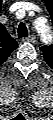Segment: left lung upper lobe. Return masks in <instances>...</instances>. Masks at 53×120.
Instances as JSON below:
<instances>
[{
	"mask_svg": "<svg viewBox=\"0 0 53 120\" xmlns=\"http://www.w3.org/2000/svg\"><path fill=\"white\" fill-rule=\"evenodd\" d=\"M40 50L43 52L47 64L51 66L53 64V46H42Z\"/></svg>",
	"mask_w": 53,
	"mask_h": 120,
	"instance_id": "5c2ea615",
	"label": "left lung upper lobe"
}]
</instances>
